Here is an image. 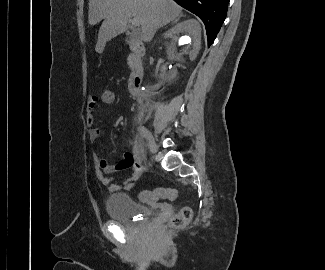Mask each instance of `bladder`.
Listing matches in <instances>:
<instances>
[{
  "mask_svg": "<svg viewBox=\"0 0 325 270\" xmlns=\"http://www.w3.org/2000/svg\"><path fill=\"white\" fill-rule=\"evenodd\" d=\"M106 211L113 221L127 227H136L150 214L149 209L124 193L110 195L106 200Z\"/></svg>",
  "mask_w": 325,
  "mask_h": 270,
  "instance_id": "bladder-1",
  "label": "bladder"
}]
</instances>
